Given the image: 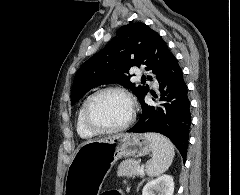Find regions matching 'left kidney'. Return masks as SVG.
Listing matches in <instances>:
<instances>
[{
	"mask_svg": "<svg viewBox=\"0 0 240 195\" xmlns=\"http://www.w3.org/2000/svg\"><path fill=\"white\" fill-rule=\"evenodd\" d=\"M173 195L174 181L172 175H159L156 179H151L143 187L142 195Z\"/></svg>",
	"mask_w": 240,
	"mask_h": 195,
	"instance_id": "left-kidney-1",
	"label": "left kidney"
}]
</instances>
